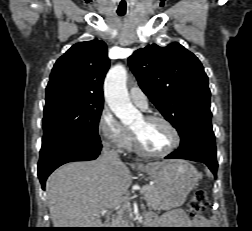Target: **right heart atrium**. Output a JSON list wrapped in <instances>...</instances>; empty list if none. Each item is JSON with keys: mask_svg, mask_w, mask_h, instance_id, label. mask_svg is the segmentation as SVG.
<instances>
[{"mask_svg": "<svg viewBox=\"0 0 252 231\" xmlns=\"http://www.w3.org/2000/svg\"><path fill=\"white\" fill-rule=\"evenodd\" d=\"M98 133L102 141L117 150L127 148L131 135L113 116L108 108H104L97 123Z\"/></svg>", "mask_w": 252, "mask_h": 231, "instance_id": "1", "label": "right heart atrium"}]
</instances>
